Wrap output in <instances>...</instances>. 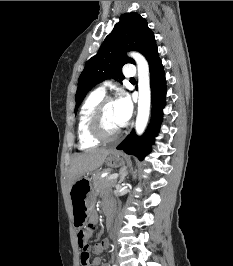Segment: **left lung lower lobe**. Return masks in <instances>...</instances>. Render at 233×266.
<instances>
[{"mask_svg": "<svg viewBox=\"0 0 233 266\" xmlns=\"http://www.w3.org/2000/svg\"><path fill=\"white\" fill-rule=\"evenodd\" d=\"M146 59L149 62L151 91H152V117L146 132L138 137L134 131L131 132L118 146L117 149L123 150L128 154L137 156L143 160L151 152V145L154 143V137L160 129L165 105L166 80L165 73L157 46L151 50Z\"/></svg>", "mask_w": 233, "mask_h": 266, "instance_id": "0a47b994", "label": "left lung lower lobe"}]
</instances>
